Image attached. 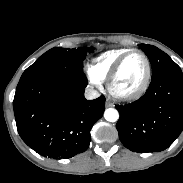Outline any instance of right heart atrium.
Wrapping results in <instances>:
<instances>
[{
	"mask_svg": "<svg viewBox=\"0 0 183 183\" xmlns=\"http://www.w3.org/2000/svg\"><path fill=\"white\" fill-rule=\"evenodd\" d=\"M88 74H89V78L90 80L93 82V83H97L98 82V79L95 78L92 73L90 72V70L88 71Z\"/></svg>",
	"mask_w": 183,
	"mask_h": 183,
	"instance_id": "1",
	"label": "right heart atrium"
}]
</instances>
